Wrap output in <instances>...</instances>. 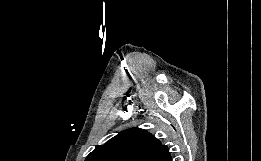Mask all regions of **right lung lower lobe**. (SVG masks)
Instances as JSON below:
<instances>
[{
	"label": "right lung lower lobe",
	"mask_w": 261,
	"mask_h": 161,
	"mask_svg": "<svg viewBox=\"0 0 261 161\" xmlns=\"http://www.w3.org/2000/svg\"><path fill=\"white\" fill-rule=\"evenodd\" d=\"M168 161H172V159L170 158Z\"/></svg>",
	"instance_id": "right-lung-lower-lobe-1"
}]
</instances>
